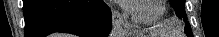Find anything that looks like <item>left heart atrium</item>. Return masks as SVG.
I'll list each match as a JSON object with an SVG mask.
<instances>
[{
	"instance_id": "left-heart-atrium-1",
	"label": "left heart atrium",
	"mask_w": 219,
	"mask_h": 37,
	"mask_svg": "<svg viewBox=\"0 0 219 37\" xmlns=\"http://www.w3.org/2000/svg\"><path fill=\"white\" fill-rule=\"evenodd\" d=\"M126 8L133 7L135 4V0H122L120 1Z\"/></svg>"
}]
</instances>
